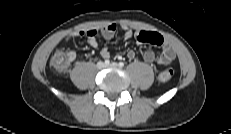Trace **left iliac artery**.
Here are the masks:
<instances>
[{"label": "left iliac artery", "mask_w": 231, "mask_h": 134, "mask_svg": "<svg viewBox=\"0 0 231 134\" xmlns=\"http://www.w3.org/2000/svg\"><path fill=\"white\" fill-rule=\"evenodd\" d=\"M119 66H120V67H124V63H123V62H120V63H119Z\"/></svg>", "instance_id": "44dca946"}]
</instances>
